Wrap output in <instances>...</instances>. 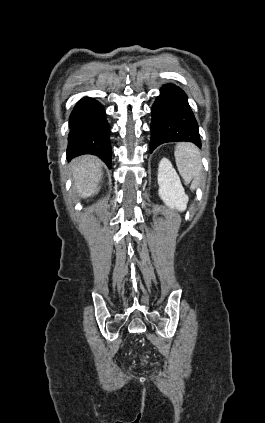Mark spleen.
<instances>
[{"label":"spleen","instance_id":"obj_1","mask_svg":"<svg viewBox=\"0 0 265 423\" xmlns=\"http://www.w3.org/2000/svg\"><path fill=\"white\" fill-rule=\"evenodd\" d=\"M174 155L181 177L187 184L192 181L191 188L195 189L202 173L199 149L192 143H180L176 146Z\"/></svg>","mask_w":265,"mask_h":423}]
</instances>
